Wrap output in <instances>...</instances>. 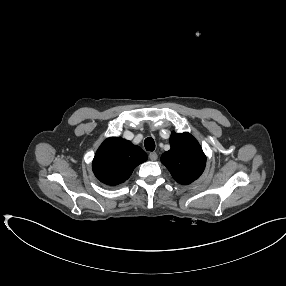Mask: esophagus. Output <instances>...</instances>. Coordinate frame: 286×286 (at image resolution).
<instances>
[{"label":"esophagus","mask_w":286,"mask_h":286,"mask_svg":"<svg viewBox=\"0 0 286 286\" xmlns=\"http://www.w3.org/2000/svg\"><path fill=\"white\" fill-rule=\"evenodd\" d=\"M149 158H150V160L155 161V160H157L158 155H157L156 152H151V153L149 154Z\"/></svg>","instance_id":"obj_1"}]
</instances>
